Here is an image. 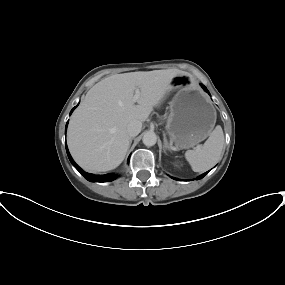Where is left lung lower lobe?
<instances>
[{
  "mask_svg": "<svg viewBox=\"0 0 285 285\" xmlns=\"http://www.w3.org/2000/svg\"><path fill=\"white\" fill-rule=\"evenodd\" d=\"M202 87L204 88V90H205V91H207V92H208V90L206 89V87H205V86H203V85H202ZM208 93H209V92H208ZM207 173H208V172H206V173H204V174L200 175V176H199V177H197L196 179L198 180V179L203 178Z\"/></svg>",
  "mask_w": 285,
  "mask_h": 285,
  "instance_id": "left-lung-lower-lobe-1",
  "label": "left lung lower lobe"
}]
</instances>
